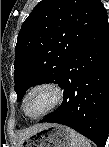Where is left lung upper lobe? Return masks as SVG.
<instances>
[{
	"label": "left lung upper lobe",
	"mask_w": 109,
	"mask_h": 147,
	"mask_svg": "<svg viewBox=\"0 0 109 147\" xmlns=\"http://www.w3.org/2000/svg\"><path fill=\"white\" fill-rule=\"evenodd\" d=\"M106 13L100 0H42L23 22L15 48V91L59 84L69 58Z\"/></svg>",
	"instance_id": "left-lung-upper-lobe-1"
}]
</instances>
